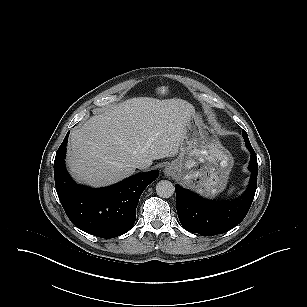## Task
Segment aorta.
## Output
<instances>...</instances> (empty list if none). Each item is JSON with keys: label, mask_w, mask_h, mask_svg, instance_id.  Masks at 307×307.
Listing matches in <instances>:
<instances>
[{"label": "aorta", "mask_w": 307, "mask_h": 307, "mask_svg": "<svg viewBox=\"0 0 307 307\" xmlns=\"http://www.w3.org/2000/svg\"><path fill=\"white\" fill-rule=\"evenodd\" d=\"M174 191V185L168 180H161L156 185V193L159 197L169 198L174 194Z\"/></svg>", "instance_id": "obj_1"}]
</instances>
